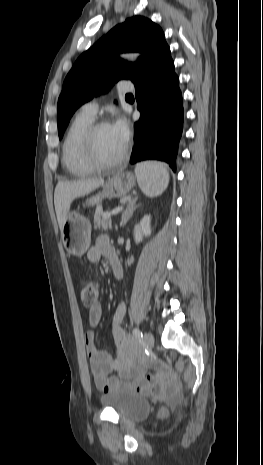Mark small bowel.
Returning a JSON list of instances; mask_svg holds the SVG:
<instances>
[{"label": "small bowel", "instance_id": "obj_1", "mask_svg": "<svg viewBox=\"0 0 263 465\" xmlns=\"http://www.w3.org/2000/svg\"><path fill=\"white\" fill-rule=\"evenodd\" d=\"M113 254L116 253L109 238L100 236L87 252V259L95 264L102 257L110 259ZM125 314L126 305L120 302L112 319V332L117 345V354L113 356L95 345L94 328L100 324L103 316L101 304L97 302L89 309L91 329L84 334V344L95 384L104 393L131 389L159 395L165 386L173 383V379L169 373L159 368H155L152 374L148 373V367L141 362L136 341L122 327ZM114 372L118 375H113Z\"/></svg>", "mask_w": 263, "mask_h": 465}]
</instances>
